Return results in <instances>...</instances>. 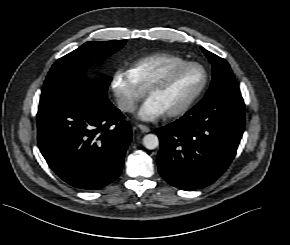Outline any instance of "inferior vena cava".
I'll return each mask as SVG.
<instances>
[{
  "label": "inferior vena cava",
  "mask_w": 290,
  "mask_h": 245,
  "mask_svg": "<svg viewBox=\"0 0 290 245\" xmlns=\"http://www.w3.org/2000/svg\"><path fill=\"white\" fill-rule=\"evenodd\" d=\"M118 108L124 112H132L135 109V104L133 100L128 97H121L118 99Z\"/></svg>",
  "instance_id": "1"
}]
</instances>
